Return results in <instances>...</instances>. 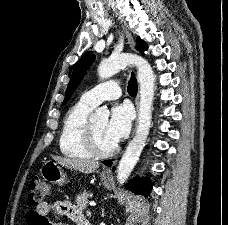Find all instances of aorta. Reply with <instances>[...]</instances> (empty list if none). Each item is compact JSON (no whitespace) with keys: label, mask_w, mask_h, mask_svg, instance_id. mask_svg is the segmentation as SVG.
Returning a JSON list of instances; mask_svg holds the SVG:
<instances>
[{"label":"aorta","mask_w":228,"mask_h":225,"mask_svg":"<svg viewBox=\"0 0 228 225\" xmlns=\"http://www.w3.org/2000/svg\"><path fill=\"white\" fill-rule=\"evenodd\" d=\"M127 64H136L138 66V82L140 84V104L138 125L131 143H129L117 169V181L119 185L126 183L129 179L139 157L145 147L146 139L149 135L152 119V104L154 98L155 76L148 60L142 56H134L130 52H122V54H111L106 60H101L97 72L99 78H109L120 68H125ZM110 113L108 108H96L95 113L90 115V123H95L99 117L108 119Z\"/></svg>","instance_id":"762f6f07"}]
</instances>
